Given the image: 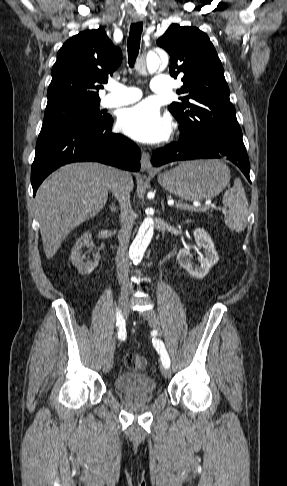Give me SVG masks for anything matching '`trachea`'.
I'll list each match as a JSON object with an SVG mask.
<instances>
[{
    "label": "trachea",
    "instance_id": "trachea-1",
    "mask_svg": "<svg viewBox=\"0 0 287 486\" xmlns=\"http://www.w3.org/2000/svg\"><path fill=\"white\" fill-rule=\"evenodd\" d=\"M142 30V22L133 23L130 27L128 38V63L130 67L134 66L135 60L139 53Z\"/></svg>",
    "mask_w": 287,
    "mask_h": 486
}]
</instances>
